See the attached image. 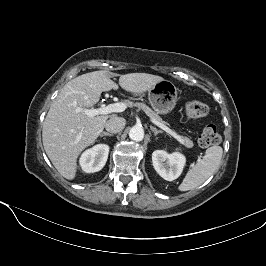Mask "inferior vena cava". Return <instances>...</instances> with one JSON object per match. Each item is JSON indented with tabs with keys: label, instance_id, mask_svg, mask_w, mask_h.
<instances>
[{
	"label": "inferior vena cava",
	"instance_id": "1",
	"mask_svg": "<svg viewBox=\"0 0 266 266\" xmlns=\"http://www.w3.org/2000/svg\"><path fill=\"white\" fill-rule=\"evenodd\" d=\"M126 121L121 117H113L105 124V128L110 133L121 132L125 127Z\"/></svg>",
	"mask_w": 266,
	"mask_h": 266
}]
</instances>
